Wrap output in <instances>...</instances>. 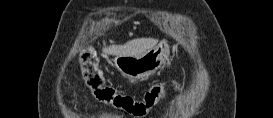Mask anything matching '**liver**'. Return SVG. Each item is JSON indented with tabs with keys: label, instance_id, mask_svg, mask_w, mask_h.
Instances as JSON below:
<instances>
[{
	"label": "liver",
	"instance_id": "obj_1",
	"mask_svg": "<svg viewBox=\"0 0 273 118\" xmlns=\"http://www.w3.org/2000/svg\"><path fill=\"white\" fill-rule=\"evenodd\" d=\"M157 43L158 40L154 38H136L123 45H110L109 47H105L103 48V52L114 56H137L153 48Z\"/></svg>",
	"mask_w": 273,
	"mask_h": 118
}]
</instances>
